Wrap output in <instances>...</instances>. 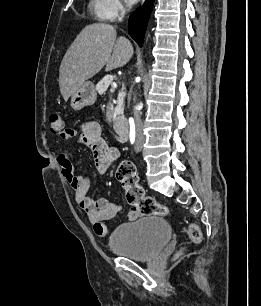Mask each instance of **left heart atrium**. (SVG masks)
Wrapping results in <instances>:
<instances>
[{
  "instance_id": "obj_1",
  "label": "left heart atrium",
  "mask_w": 261,
  "mask_h": 306,
  "mask_svg": "<svg viewBox=\"0 0 261 306\" xmlns=\"http://www.w3.org/2000/svg\"><path fill=\"white\" fill-rule=\"evenodd\" d=\"M127 2H129V3H134V2H136L137 0H126Z\"/></svg>"
}]
</instances>
